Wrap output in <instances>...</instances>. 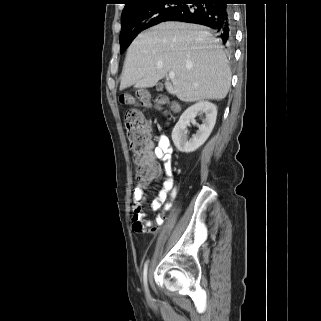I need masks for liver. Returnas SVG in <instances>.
Returning a JSON list of instances; mask_svg holds the SVG:
<instances>
[{
    "mask_svg": "<svg viewBox=\"0 0 321 321\" xmlns=\"http://www.w3.org/2000/svg\"><path fill=\"white\" fill-rule=\"evenodd\" d=\"M170 72L166 90L184 102L221 100L229 91L227 57L202 26L163 22L141 33L128 48L120 90L153 87Z\"/></svg>",
    "mask_w": 321,
    "mask_h": 321,
    "instance_id": "obj_1",
    "label": "liver"
}]
</instances>
